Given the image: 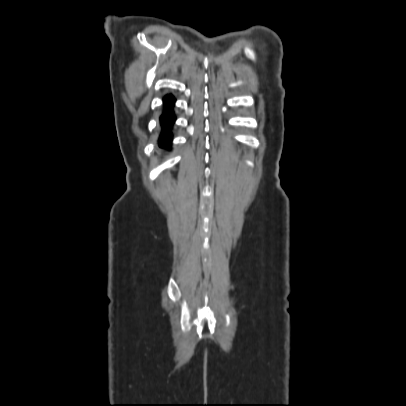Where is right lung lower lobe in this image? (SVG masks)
I'll return each mask as SVG.
<instances>
[{"label":"right lung lower lobe","mask_w":406,"mask_h":406,"mask_svg":"<svg viewBox=\"0 0 406 406\" xmlns=\"http://www.w3.org/2000/svg\"><path fill=\"white\" fill-rule=\"evenodd\" d=\"M165 110L160 117L161 125L163 127V131L160 137L159 146L162 148H170L171 147V139L172 133L170 132V128L172 123L175 121V116L172 111V106L174 105V98L172 95H167L164 98Z\"/></svg>","instance_id":"1"}]
</instances>
